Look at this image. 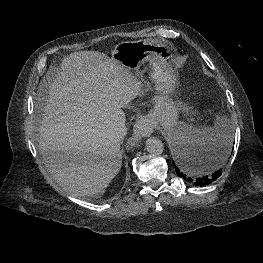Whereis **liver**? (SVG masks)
Wrapping results in <instances>:
<instances>
[{
    "label": "liver",
    "mask_w": 263,
    "mask_h": 263,
    "mask_svg": "<svg viewBox=\"0 0 263 263\" xmlns=\"http://www.w3.org/2000/svg\"><path fill=\"white\" fill-rule=\"evenodd\" d=\"M41 88L48 92L39 128L46 167L76 197L103 195L122 165L111 124L125 120L121 108L143 93L141 82L107 55L80 51L66 56Z\"/></svg>",
    "instance_id": "liver-1"
}]
</instances>
